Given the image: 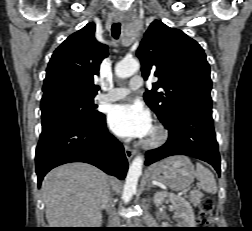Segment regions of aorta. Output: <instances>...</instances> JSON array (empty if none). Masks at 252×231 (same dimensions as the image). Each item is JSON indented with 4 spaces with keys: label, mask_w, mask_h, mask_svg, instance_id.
Segmentation results:
<instances>
[{
    "label": "aorta",
    "mask_w": 252,
    "mask_h": 231,
    "mask_svg": "<svg viewBox=\"0 0 252 231\" xmlns=\"http://www.w3.org/2000/svg\"><path fill=\"white\" fill-rule=\"evenodd\" d=\"M140 68V63L135 59H124L119 62L115 67V74L119 78H128L136 73ZM144 158L138 155L134 158L129 166V170L126 177V182L123 188L122 199L124 203H128L133 194L136 192L138 179L142 174V166Z\"/></svg>",
    "instance_id": "762f6f07"
}]
</instances>
